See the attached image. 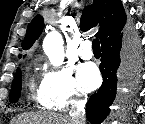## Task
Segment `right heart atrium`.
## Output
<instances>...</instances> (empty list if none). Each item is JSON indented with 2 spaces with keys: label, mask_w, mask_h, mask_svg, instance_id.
<instances>
[{
  "label": "right heart atrium",
  "mask_w": 145,
  "mask_h": 124,
  "mask_svg": "<svg viewBox=\"0 0 145 124\" xmlns=\"http://www.w3.org/2000/svg\"><path fill=\"white\" fill-rule=\"evenodd\" d=\"M41 90L45 100L58 110L77 107L85 100L84 91L67 69H46Z\"/></svg>",
  "instance_id": "obj_1"
}]
</instances>
